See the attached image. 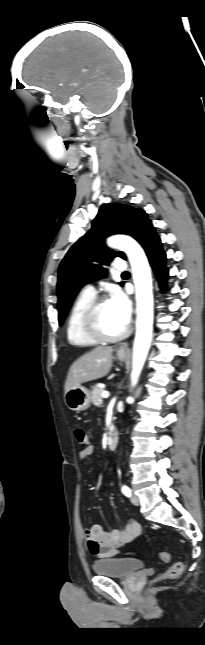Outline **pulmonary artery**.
<instances>
[{
    "instance_id": "1",
    "label": "pulmonary artery",
    "mask_w": 205,
    "mask_h": 645,
    "mask_svg": "<svg viewBox=\"0 0 205 645\" xmlns=\"http://www.w3.org/2000/svg\"><path fill=\"white\" fill-rule=\"evenodd\" d=\"M113 268L116 272H124L127 269V264L124 260L117 259L113 263ZM82 292L94 296L96 289L93 284H87L83 287Z\"/></svg>"
}]
</instances>
